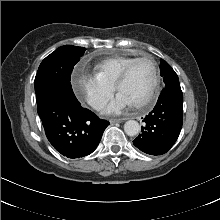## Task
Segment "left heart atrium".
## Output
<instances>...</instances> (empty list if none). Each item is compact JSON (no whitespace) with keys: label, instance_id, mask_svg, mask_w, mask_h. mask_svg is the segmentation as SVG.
Masks as SVG:
<instances>
[{"label":"left heart atrium","instance_id":"39dd6f15","mask_svg":"<svg viewBox=\"0 0 220 220\" xmlns=\"http://www.w3.org/2000/svg\"><path fill=\"white\" fill-rule=\"evenodd\" d=\"M132 102L122 93H119L104 109L103 113L113 114L120 113L127 107L131 106Z\"/></svg>","mask_w":220,"mask_h":220}]
</instances>
